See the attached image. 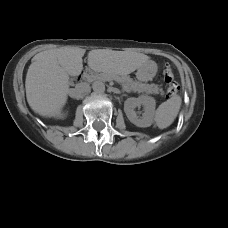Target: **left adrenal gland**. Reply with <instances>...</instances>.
Masks as SVG:
<instances>
[{"mask_svg":"<svg viewBox=\"0 0 228 228\" xmlns=\"http://www.w3.org/2000/svg\"><path fill=\"white\" fill-rule=\"evenodd\" d=\"M122 96H127L126 94H123Z\"/></svg>","mask_w":228,"mask_h":228,"instance_id":"a2214340","label":"left adrenal gland"}]
</instances>
